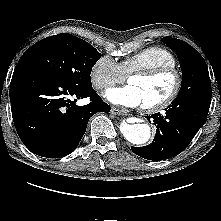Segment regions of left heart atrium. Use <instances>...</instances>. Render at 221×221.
<instances>
[{"mask_svg":"<svg viewBox=\"0 0 221 221\" xmlns=\"http://www.w3.org/2000/svg\"><path fill=\"white\" fill-rule=\"evenodd\" d=\"M105 97L114 104L127 107L142 106V98L131 84L119 88H112L106 91Z\"/></svg>","mask_w":221,"mask_h":221,"instance_id":"left-heart-atrium-1","label":"left heart atrium"}]
</instances>
